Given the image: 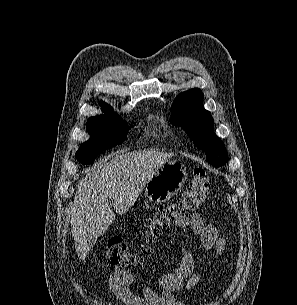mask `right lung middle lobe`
Wrapping results in <instances>:
<instances>
[{
	"instance_id": "1",
	"label": "right lung middle lobe",
	"mask_w": 297,
	"mask_h": 305,
	"mask_svg": "<svg viewBox=\"0 0 297 305\" xmlns=\"http://www.w3.org/2000/svg\"><path fill=\"white\" fill-rule=\"evenodd\" d=\"M106 115L90 117L87 121V131L91 138L83 143L76 152L75 157L82 164L93 163L95 158L104 150L121 144L128 132L125 121H121L113 110Z\"/></svg>"
}]
</instances>
